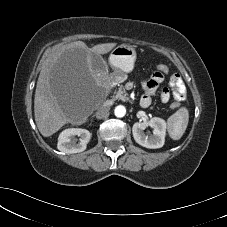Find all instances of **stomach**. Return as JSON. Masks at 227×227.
<instances>
[{
  "instance_id": "0dacf381",
  "label": "stomach",
  "mask_w": 227,
  "mask_h": 227,
  "mask_svg": "<svg viewBox=\"0 0 227 227\" xmlns=\"http://www.w3.org/2000/svg\"><path fill=\"white\" fill-rule=\"evenodd\" d=\"M136 60V51L129 44H121L117 46L110 54L109 63L110 65L123 75L131 72L134 68Z\"/></svg>"
}]
</instances>
